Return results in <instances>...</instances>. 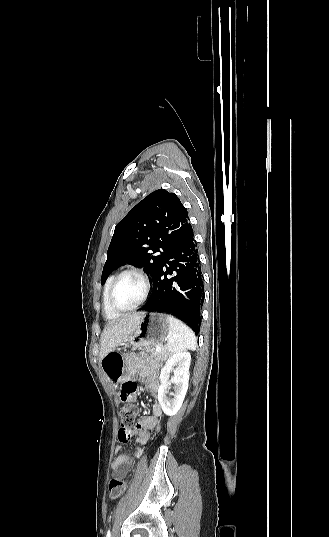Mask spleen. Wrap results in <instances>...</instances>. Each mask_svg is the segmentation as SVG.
Segmentation results:
<instances>
[{"mask_svg":"<svg viewBox=\"0 0 329 537\" xmlns=\"http://www.w3.org/2000/svg\"><path fill=\"white\" fill-rule=\"evenodd\" d=\"M170 335L166 348L170 353L195 350L197 339L193 331L179 319L170 316Z\"/></svg>","mask_w":329,"mask_h":537,"instance_id":"3e777b00","label":"spleen"}]
</instances>
